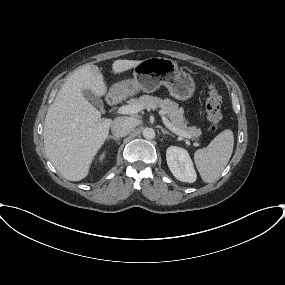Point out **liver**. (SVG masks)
Segmentation results:
<instances>
[{
  "label": "liver",
  "instance_id": "obj_1",
  "mask_svg": "<svg viewBox=\"0 0 285 285\" xmlns=\"http://www.w3.org/2000/svg\"><path fill=\"white\" fill-rule=\"evenodd\" d=\"M141 61L116 60L114 74L134 68ZM96 96L107 93L104 76L96 65H85L73 73L47 111L44 122L45 153L54 167L69 181L84 179L97 152L108 137L112 120L85 98L82 91Z\"/></svg>",
  "mask_w": 285,
  "mask_h": 285
}]
</instances>
